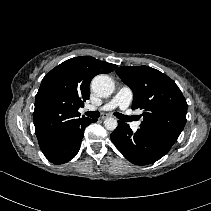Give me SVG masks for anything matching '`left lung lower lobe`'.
<instances>
[{"instance_id": "left-lung-lower-lobe-1", "label": "left lung lower lobe", "mask_w": 211, "mask_h": 211, "mask_svg": "<svg viewBox=\"0 0 211 211\" xmlns=\"http://www.w3.org/2000/svg\"><path fill=\"white\" fill-rule=\"evenodd\" d=\"M110 138L123 156L136 165L152 164L168 152L149 135L139 129L133 132L129 125L122 121H118V127L111 133Z\"/></svg>"}]
</instances>
